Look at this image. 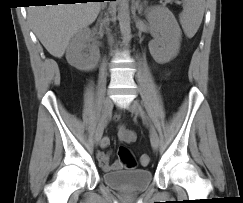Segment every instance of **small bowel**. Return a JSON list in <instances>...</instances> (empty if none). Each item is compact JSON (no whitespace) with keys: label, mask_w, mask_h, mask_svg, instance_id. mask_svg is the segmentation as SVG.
Wrapping results in <instances>:
<instances>
[{"label":"small bowel","mask_w":243,"mask_h":203,"mask_svg":"<svg viewBox=\"0 0 243 203\" xmlns=\"http://www.w3.org/2000/svg\"><path fill=\"white\" fill-rule=\"evenodd\" d=\"M118 138L123 143H132L136 139V135L133 131L127 129L124 125H119L117 128ZM110 145L109 137L105 136L101 140V147L107 148ZM97 160L104 171H113L121 169V162L116 161L114 163L109 162V153L107 152H98Z\"/></svg>","instance_id":"obj_1"}]
</instances>
